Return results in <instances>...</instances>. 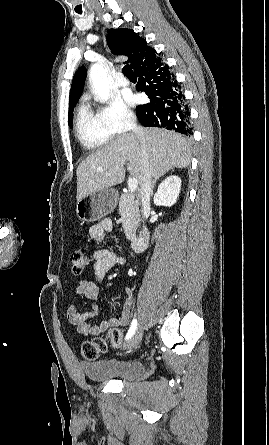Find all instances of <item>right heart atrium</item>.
<instances>
[{"label": "right heart atrium", "mask_w": 269, "mask_h": 445, "mask_svg": "<svg viewBox=\"0 0 269 445\" xmlns=\"http://www.w3.org/2000/svg\"><path fill=\"white\" fill-rule=\"evenodd\" d=\"M98 115L112 135L127 132L134 124L135 116L130 108L119 99H110Z\"/></svg>", "instance_id": "obj_1"}]
</instances>
